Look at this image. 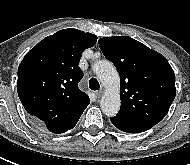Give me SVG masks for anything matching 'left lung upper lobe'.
<instances>
[{"label":"left lung upper lobe","mask_w":190,"mask_h":165,"mask_svg":"<svg viewBox=\"0 0 190 165\" xmlns=\"http://www.w3.org/2000/svg\"><path fill=\"white\" fill-rule=\"evenodd\" d=\"M98 43L120 75L116 117L136 124L159 123L176 95L175 74L166 58L127 36L105 37Z\"/></svg>","instance_id":"obj_1"}]
</instances>
